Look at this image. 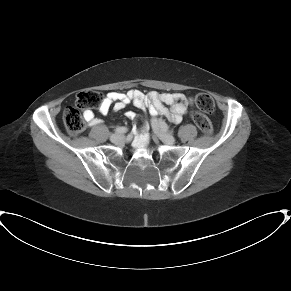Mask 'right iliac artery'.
<instances>
[{"mask_svg":"<svg viewBox=\"0 0 291 291\" xmlns=\"http://www.w3.org/2000/svg\"><path fill=\"white\" fill-rule=\"evenodd\" d=\"M116 133H125L127 132V128L126 127H118L115 129Z\"/></svg>","mask_w":291,"mask_h":291,"instance_id":"82829eb1","label":"right iliac artery"}]
</instances>
